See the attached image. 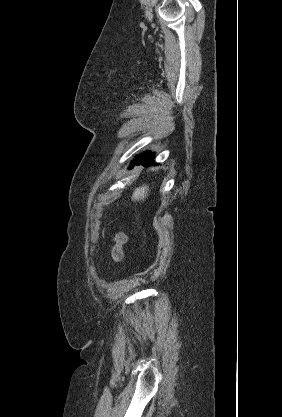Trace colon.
Here are the masks:
<instances>
[{"label":"colon","instance_id":"colon-1","mask_svg":"<svg viewBox=\"0 0 282 417\" xmlns=\"http://www.w3.org/2000/svg\"><path fill=\"white\" fill-rule=\"evenodd\" d=\"M127 240L128 238L124 231L117 232L114 235L112 239L111 247H110L112 259L114 261L120 260L122 253H123V248L126 245Z\"/></svg>","mask_w":282,"mask_h":417}]
</instances>
